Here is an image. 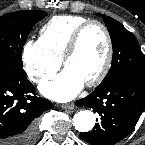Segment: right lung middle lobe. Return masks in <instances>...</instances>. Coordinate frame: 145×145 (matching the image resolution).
Listing matches in <instances>:
<instances>
[{
	"label": "right lung middle lobe",
	"mask_w": 145,
	"mask_h": 145,
	"mask_svg": "<svg viewBox=\"0 0 145 145\" xmlns=\"http://www.w3.org/2000/svg\"><path fill=\"white\" fill-rule=\"evenodd\" d=\"M46 16L44 11H17L0 17V67L19 66L22 47L34 24Z\"/></svg>",
	"instance_id": "obj_1"
}]
</instances>
